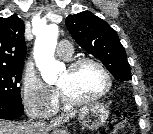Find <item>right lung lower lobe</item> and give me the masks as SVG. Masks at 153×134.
<instances>
[{"label":"right lung lower lobe","mask_w":153,"mask_h":134,"mask_svg":"<svg viewBox=\"0 0 153 134\" xmlns=\"http://www.w3.org/2000/svg\"><path fill=\"white\" fill-rule=\"evenodd\" d=\"M24 107L22 103L10 102L0 99V119L12 120L23 115Z\"/></svg>","instance_id":"right-lung-lower-lobe-1"}]
</instances>
